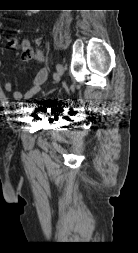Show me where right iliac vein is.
<instances>
[{"label": "right iliac vein", "mask_w": 138, "mask_h": 253, "mask_svg": "<svg viewBox=\"0 0 138 253\" xmlns=\"http://www.w3.org/2000/svg\"><path fill=\"white\" fill-rule=\"evenodd\" d=\"M56 70H57L58 77H60L64 72V69H63L62 65H60V64H57Z\"/></svg>", "instance_id": "1"}]
</instances>
